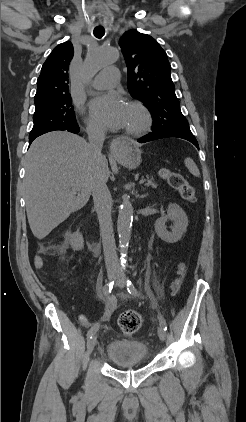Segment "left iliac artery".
I'll return each instance as SVG.
<instances>
[{
    "mask_svg": "<svg viewBox=\"0 0 246 422\" xmlns=\"http://www.w3.org/2000/svg\"><path fill=\"white\" fill-rule=\"evenodd\" d=\"M127 290L133 296H137L138 294L137 289L135 288L134 284L129 278L127 279ZM158 319H159L160 326L164 329V331H166L167 330L166 320L161 314L158 315Z\"/></svg>",
    "mask_w": 246,
    "mask_h": 422,
    "instance_id": "44dca946",
    "label": "left iliac artery"
}]
</instances>
